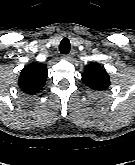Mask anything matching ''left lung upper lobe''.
<instances>
[{
    "label": "left lung upper lobe",
    "mask_w": 135,
    "mask_h": 165,
    "mask_svg": "<svg viewBox=\"0 0 135 165\" xmlns=\"http://www.w3.org/2000/svg\"><path fill=\"white\" fill-rule=\"evenodd\" d=\"M82 80L86 86L98 91L106 90L110 85V78L104 67L95 63L85 67Z\"/></svg>",
    "instance_id": "obj_1"
}]
</instances>
